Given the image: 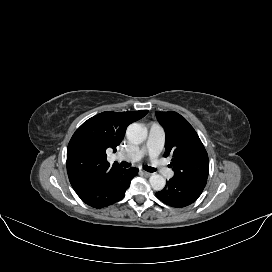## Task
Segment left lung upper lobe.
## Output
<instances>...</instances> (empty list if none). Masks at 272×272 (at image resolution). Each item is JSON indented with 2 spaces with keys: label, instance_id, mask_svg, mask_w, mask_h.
<instances>
[{
  "label": "left lung upper lobe",
  "instance_id": "1",
  "mask_svg": "<svg viewBox=\"0 0 272 272\" xmlns=\"http://www.w3.org/2000/svg\"><path fill=\"white\" fill-rule=\"evenodd\" d=\"M156 116L166 134L164 156L172 157V179H207L208 155L194 128L173 111L156 112Z\"/></svg>",
  "mask_w": 272,
  "mask_h": 272
}]
</instances>
